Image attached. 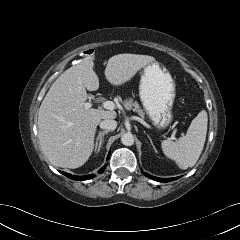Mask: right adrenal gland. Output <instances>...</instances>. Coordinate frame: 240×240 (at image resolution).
Listing matches in <instances>:
<instances>
[{
  "label": "right adrenal gland",
  "instance_id": "right-adrenal-gland-1",
  "mask_svg": "<svg viewBox=\"0 0 240 240\" xmlns=\"http://www.w3.org/2000/svg\"><path fill=\"white\" fill-rule=\"evenodd\" d=\"M107 133H108V131H103V132H99L98 133V136L96 138V144H95V152H99L100 151L104 135L107 134Z\"/></svg>",
  "mask_w": 240,
  "mask_h": 240
}]
</instances>
